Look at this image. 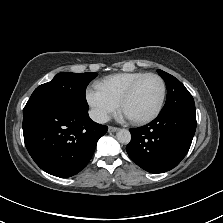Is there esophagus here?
I'll use <instances>...</instances> for the list:
<instances>
[{
    "label": "esophagus",
    "mask_w": 223,
    "mask_h": 223,
    "mask_svg": "<svg viewBox=\"0 0 223 223\" xmlns=\"http://www.w3.org/2000/svg\"><path fill=\"white\" fill-rule=\"evenodd\" d=\"M118 130H119L118 127H112V126H109V128H108V131H109V132H116V131H118Z\"/></svg>",
    "instance_id": "1"
}]
</instances>
